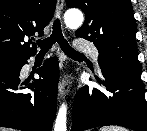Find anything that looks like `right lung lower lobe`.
Masks as SVG:
<instances>
[{
	"label": "right lung lower lobe",
	"instance_id": "right-lung-lower-lobe-1",
	"mask_svg": "<svg viewBox=\"0 0 147 131\" xmlns=\"http://www.w3.org/2000/svg\"><path fill=\"white\" fill-rule=\"evenodd\" d=\"M29 57L19 60L16 68L0 70V127L21 131H51L56 114L58 60H46L37 71L41 79H35L33 84L27 85L20 82L19 75ZM25 88H36L35 95L18 92Z\"/></svg>",
	"mask_w": 147,
	"mask_h": 131
}]
</instances>
